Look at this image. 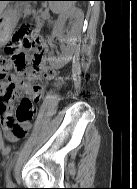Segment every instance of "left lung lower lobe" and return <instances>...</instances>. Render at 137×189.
Masks as SVG:
<instances>
[{"label": "left lung lower lobe", "instance_id": "0a47b994", "mask_svg": "<svg viewBox=\"0 0 137 189\" xmlns=\"http://www.w3.org/2000/svg\"><path fill=\"white\" fill-rule=\"evenodd\" d=\"M75 1H88V0H75Z\"/></svg>", "mask_w": 137, "mask_h": 189}]
</instances>
